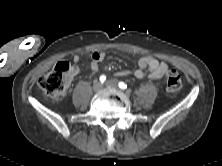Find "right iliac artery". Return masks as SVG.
I'll use <instances>...</instances> for the list:
<instances>
[{
  "label": "right iliac artery",
  "instance_id": "right-iliac-artery-1",
  "mask_svg": "<svg viewBox=\"0 0 222 166\" xmlns=\"http://www.w3.org/2000/svg\"><path fill=\"white\" fill-rule=\"evenodd\" d=\"M99 80H100L101 83L105 82L106 76L105 75H101Z\"/></svg>",
  "mask_w": 222,
  "mask_h": 166
}]
</instances>
